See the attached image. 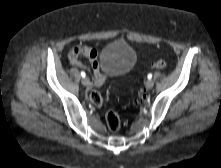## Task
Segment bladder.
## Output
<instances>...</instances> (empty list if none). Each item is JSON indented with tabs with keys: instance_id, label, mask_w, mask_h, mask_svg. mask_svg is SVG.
<instances>
[{
	"instance_id": "1",
	"label": "bladder",
	"mask_w": 221,
	"mask_h": 168,
	"mask_svg": "<svg viewBox=\"0 0 221 168\" xmlns=\"http://www.w3.org/2000/svg\"><path fill=\"white\" fill-rule=\"evenodd\" d=\"M135 62V50L124 41H114L107 44L100 54L101 67L113 76L129 72Z\"/></svg>"
}]
</instances>
